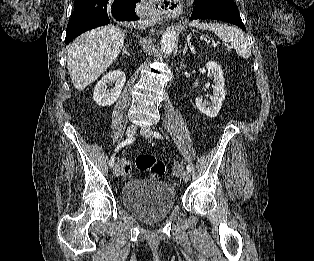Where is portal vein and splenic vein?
<instances>
[{
    "label": "portal vein and splenic vein",
    "mask_w": 314,
    "mask_h": 261,
    "mask_svg": "<svg viewBox=\"0 0 314 261\" xmlns=\"http://www.w3.org/2000/svg\"><path fill=\"white\" fill-rule=\"evenodd\" d=\"M212 45H213V47H216V46H217V43H216V42H213V44H212ZM225 46H226V47H229V46H228V45H226V44H225Z\"/></svg>",
    "instance_id": "obj_1"
}]
</instances>
